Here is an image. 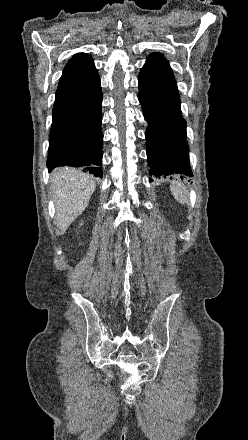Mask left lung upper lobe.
<instances>
[{
  "instance_id": "5c2ea615",
  "label": "left lung upper lobe",
  "mask_w": 248,
  "mask_h": 440,
  "mask_svg": "<svg viewBox=\"0 0 248 440\" xmlns=\"http://www.w3.org/2000/svg\"><path fill=\"white\" fill-rule=\"evenodd\" d=\"M139 76L149 82L166 85L177 90V84L171 67L166 59L159 53L149 56Z\"/></svg>"
}]
</instances>
